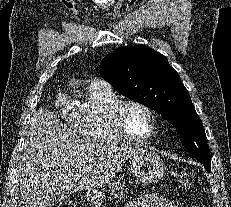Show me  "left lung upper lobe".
I'll return each instance as SVG.
<instances>
[{
	"label": "left lung upper lobe",
	"instance_id": "obj_1",
	"mask_svg": "<svg viewBox=\"0 0 231 207\" xmlns=\"http://www.w3.org/2000/svg\"><path fill=\"white\" fill-rule=\"evenodd\" d=\"M99 72L117 92L163 115L178 130L189 153L211 165L203 123L164 55L145 45L120 47L102 60Z\"/></svg>",
	"mask_w": 231,
	"mask_h": 207
}]
</instances>
